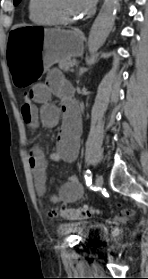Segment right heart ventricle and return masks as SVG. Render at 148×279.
Returning <instances> with one entry per match:
<instances>
[{"instance_id":"obj_1","label":"right heart ventricle","mask_w":148,"mask_h":279,"mask_svg":"<svg viewBox=\"0 0 148 279\" xmlns=\"http://www.w3.org/2000/svg\"><path fill=\"white\" fill-rule=\"evenodd\" d=\"M28 13L30 20L39 26H52L55 24L53 20L42 14L37 8V0H29Z\"/></svg>"}]
</instances>
